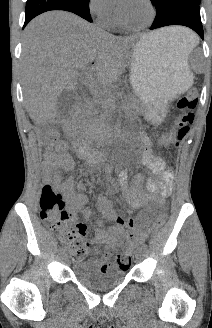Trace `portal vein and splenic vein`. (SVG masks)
Masks as SVG:
<instances>
[{"instance_id": "1", "label": "portal vein and splenic vein", "mask_w": 212, "mask_h": 328, "mask_svg": "<svg viewBox=\"0 0 212 328\" xmlns=\"http://www.w3.org/2000/svg\"><path fill=\"white\" fill-rule=\"evenodd\" d=\"M87 70H89V69H87ZM85 74H86L87 76H89V75H88V72H86Z\"/></svg>"}]
</instances>
